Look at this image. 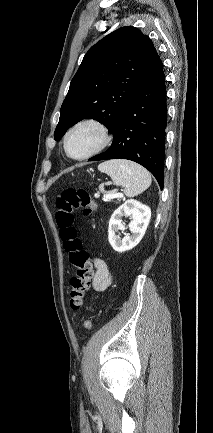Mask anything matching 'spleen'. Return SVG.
Segmentation results:
<instances>
[{
  "instance_id": "spleen-1",
  "label": "spleen",
  "mask_w": 213,
  "mask_h": 433,
  "mask_svg": "<svg viewBox=\"0 0 213 433\" xmlns=\"http://www.w3.org/2000/svg\"><path fill=\"white\" fill-rule=\"evenodd\" d=\"M98 170L110 176L114 185L123 187V192L127 197L141 194L152 182L149 172L132 161H105L99 164Z\"/></svg>"
}]
</instances>
